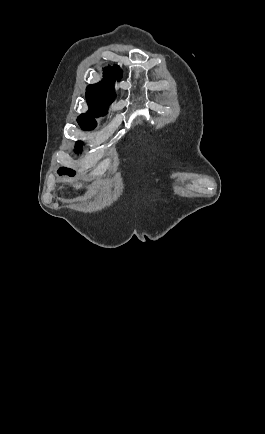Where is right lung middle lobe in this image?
Masks as SVG:
<instances>
[{
	"instance_id": "dd1d6c3e",
	"label": "right lung middle lobe",
	"mask_w": 265,
	"mask_h": 434,
	"mask_svg": "<svg viewBox=\"0 0 265 434\" xmlns=\"http://www.w3.org/2000/svg\"><path fill=\"white\" fill-rule=\"evenodd\" d=\"M86 98L90 107V111H88L87 114L80 115L78 118V122L84 130H91L96 126V121L93 117H97L99 116V114H106L108 105L111 102L104 98L91 95H86ZM81 144V142H78V145L76 146L78 150L80 149L79 145ZM58 171L64 172L69 175L74 174V172L68 168H60Z\"/></svg>"
}]
</instances>
